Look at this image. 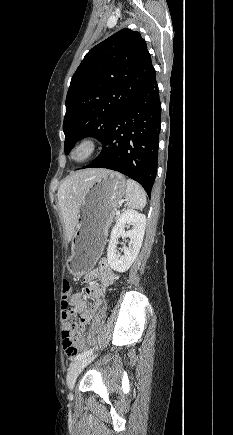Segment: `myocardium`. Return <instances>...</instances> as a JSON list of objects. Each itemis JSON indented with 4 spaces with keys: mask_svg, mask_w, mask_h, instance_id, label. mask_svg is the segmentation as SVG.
Returning <instances> with one entry per match:
<instances>
[{
    "mask_svg": "<svg viewBox=\"0 0 233 435\" xmlns=\"http://www.w3.org/2000/svg\"><path fill=\"white\" fill-rule=\"evenodd\" d=\"M96 148V138L93 136H85L72 147L70 151V158L76 163H84L92 158Z\"/></svg>",
    "mask_w": 233,
    "mask_h": 435,
    "instance_id": "myocardium-1",
    "label": "myocardium"
}]
</instances>
